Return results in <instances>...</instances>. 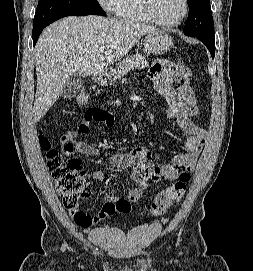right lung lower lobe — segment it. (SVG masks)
I'll use <instances>...</instances> for the list:
<instances>
[{
	"label": "right lung lower lobe",
	"mask_w": 253,
	"mask_h": 271,
	"mask_svg": "<svg viewBox=\"0 0 253 271\" xmlns=\"http://www.w3.org/2000/svg\"><path fill=\"white\" fill-rule=\"evenodd\" d=\"M44 28H41V29H39L37 31H33L32 37H33V44H34V46H35V44H36V42L38 40L39 35L41 34V32L43 31Z\"/></svg>",
	"instance_id": "1"
}]
</instances>
